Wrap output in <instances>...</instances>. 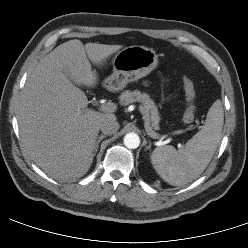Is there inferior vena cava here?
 <instances>
[{"label": "inferior vena cava", "instance_id": "602c4592", "mask_svg": "<svg viewBox=\"0 0 248 248\" xmlns=\"http://www.w3.org/2000/svg\"><path fill=\"white\" fill-rule=\"evenodd\" d=\"M119 129V123L114 118L104 119L100 123V130L105 135H111Z\"/></svg>", "mask_w": 248, "mask_h": 248}]
</instances>
